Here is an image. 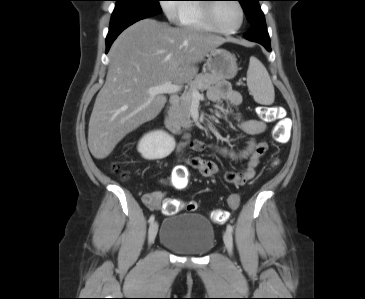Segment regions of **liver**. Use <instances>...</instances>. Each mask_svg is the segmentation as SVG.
<instances>
[{
  "instance_id": "obj_1",
  "label": "liver",
  "mask_w": 365,
  "mask_h": 299,
  "mask_svg": "<svg viewBox=\"0 0 365 299\" xmlns=\"http://www.w3.org/2000/svg\"><path fill=\"white\" fill-rule=\"evenodd\" d=\"M227 39L194 29L141 20L123 31L109 52V68L89 121L88 147L96 159L140 125L154 119L167 99L147 91L173 82L189 83L201 62Z\"/></svg>"
}]
</instances>
